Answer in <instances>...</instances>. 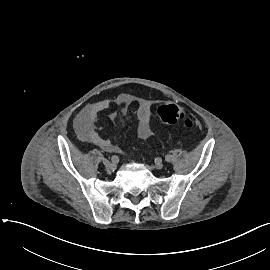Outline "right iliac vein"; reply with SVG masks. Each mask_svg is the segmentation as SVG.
Returning a JSON list of instances; mask_svg holds the SVG:
<instances>
[{"mask_svg": "<svg viewBox=\"0 0 270 270\" xmlns=\"http://www.w3.org/2000/svg\"><path fill=\"white\" fill-rule=\"evenodd\" d=\"M103 164L106 167V169L108 171H114L116 169V165L111 163L109 160L107 159H103Z\"/></svg>", "mask_w": 270, "mask_h": 270, "instance_id": "obj_1", "label": "right iliac vein"}]
</instances>
